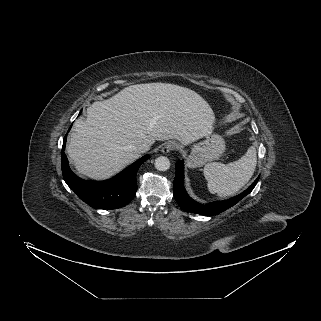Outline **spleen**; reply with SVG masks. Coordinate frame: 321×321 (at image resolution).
Returning <instances> with one entry per match:
<instances>
[{"mask_svg": "<svg viewBox=\"0 0 321 321\" xmlns=\"http://www.w3.org/2000/svg\"><path fill=\"white\" fill-rule=\"evenodd\" d=\"M257 163L255 147L251 146L239 160L227 165L212 162L204 167L208 190L220 197L238 192L251 179Z\"/></svg>", "mask_w": 321, "mask_h": 321, "instance_id": "3e777b00", "label": "spleen"}]
</instances>
